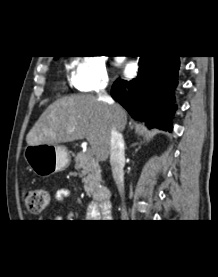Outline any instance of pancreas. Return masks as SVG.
<instances>
[{"label":"pancreas","mask_w":218,"mask_h":277,"mask_svg":"<svg viewBox=\"0 0 218 277\" xmlns=\"http://www.w3.org/2000/svg\"><path fill=\"white\" fill-rule=\"evenodd\" d=\"M75 169L81 170L80 176L88 196L95 194L101 183V170L92 153H78L75 156Z\"/></svg>","instance_id":"cf45deb5"}]
</instances>
